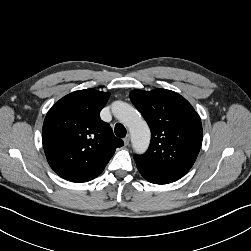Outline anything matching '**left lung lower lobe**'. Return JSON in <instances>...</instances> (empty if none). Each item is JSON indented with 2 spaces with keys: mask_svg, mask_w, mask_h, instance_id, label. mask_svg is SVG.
I'll use <instances>...</instances> for the list:
<instances>
[{
  "mask_svg": "<svg viewBox=\"0 0 251 251\" xmlns=\"http://www.w3.org/2000/svg\"><path fill=\"white\" fill-rule=\"evenodd\" d=\"M141 175L154 184H168L177 181L185 174L175 171L158 170L136 164Z\"/></svg>",
  "mask_w": 251,
  "mask_h": 251,
  "instance_id": "1",
  "label": "left lung lower lobe"
}]
</instances>
